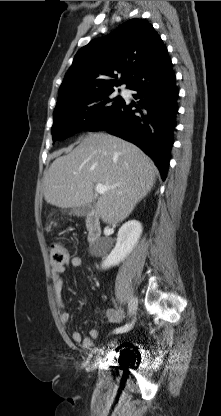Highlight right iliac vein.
I'll list each match as a JSON object with an SVG mask.
<instances>
[{"mask_svg": "<svg viewBox=\"0 0 221 416\" xmlns=\"http://www.w3.org/2000/svg\"><path fill=\"white\" fill-rule=\"evenodd\" d=\"M138 306V300L136 297H131L129 302V314L130 316H133L136 313Z\"/></svg>", "mask_w": 221, "mask_h": 416, "instance_id": "obj_1", "label": "right iliac vein"}]
</instances>
